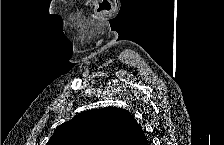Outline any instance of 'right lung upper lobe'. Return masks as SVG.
I'll list each match as a JSON object with an SVG mask.
<instances>
[{
	"instance_id": "cb5924a9",
	"label": "right lung upper lobe",
	"mask_w": 224,
	"mask_h": 145,
	"mask_svg": "<svg viewBox=\"0 0 224 145\" xmlns=\"http://www.w3.org/2000/svg\"><path fill=\"white\" fill-rule=\"evenodd\" d=\"M47 145H148L136 119L125 109L82 112L56 128Z\"/></svg>"
}]
</instances>
